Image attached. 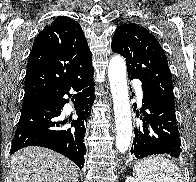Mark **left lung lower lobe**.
Returning a JSON list of instances; mask_svg holds the SVG:
<instances>
[{
    "label": "left lung lower lobe",
    "instance_id": "0a47b994",
    "mask_svg": "<svg viewBox=\"0 0 196 182\" xmlns=\"http://www.w3.org/2000/svg\"><path fill=\"white\" fill-rule=\"evenodd\" d=\"M131 79L137 78L128 74ZM143 99L140 119L134 133L131 153L136 158L153 154H169L175 158L181 154V140L175 115V107L159 94L142 84ZM139 115L136 104L132 105Z\"/></svg>",
    "mask_w": 196,
    "mask_h": 182
}]
</instances>
